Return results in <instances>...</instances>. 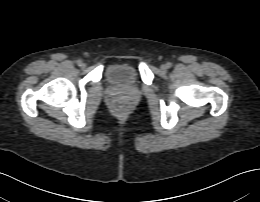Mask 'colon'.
<instances>
[{
  "label": "colon",
  "instance_id": "obj_1",
  "mask_svg": "<svg viewBox=\"0 0 260 202\" xmlns=\"http://www.w3.org/2000/svg\"><path fill=\"white\" fill-rule=\"evenodd\" d=\"M116 110H117V112H118L119 114L124 115V114L127 113L128 107H127V105L124 104V103H118V104L116 105Z\"/></svg>",
  "mask_w": 260,
  "mask_h": 202
}]
</instances>
